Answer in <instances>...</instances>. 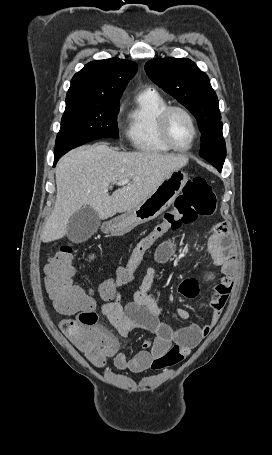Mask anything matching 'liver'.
<instances>
[{
	"mask_svg": "<svg viewBox=\"0 0 272 455\" xmlns=\"http://www.w3.org/2000/svg\"><path fill=\"white\" fill-rule=\"evenodd\" d=\"M187 163L183 155L119 152L105 143L70 151L56 167L55 206L41 240L48 243L63 238L70 218L83 206L93 208L100 219L136 208L168 175ZM123 180L130 181L110 196L109 184Z\"/></svg>",
	"mask_w": 272,
	"mask_h": 455,
	"instance_id": "6515ba94",
	"label": "liver"
}]
</instances>
